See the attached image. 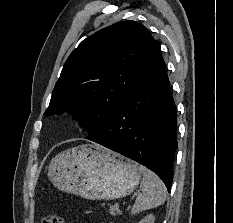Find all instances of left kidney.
<instances>
[{
    "label": "left kidney",
    "instance_id": "obj_1",
    "mask_svg": "<svg viewBox=\"0 0 233 223\" xmlns=\"http://www.w3.org/2000/svg\"><path fill=\"white\" fill-rule=\"evenodd\" d=\"M154 215L153 213H149V215H146V217H144V219H141V221H139V223H154Z\"/></svg>",
    "mask_w": 233,
    "mask_h": 223
}]
</instances>
